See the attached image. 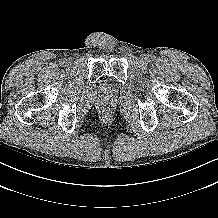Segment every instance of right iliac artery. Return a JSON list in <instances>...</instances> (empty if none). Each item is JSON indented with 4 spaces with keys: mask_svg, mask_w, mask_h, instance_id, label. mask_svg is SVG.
Segmentation results:
<instances>
[{
    "mask_svg": "<svg viewBox=\"0 0 218 218\" xmlns=\"http://www.w3.org/2000/svg\"><path fill=\"white\" fill-rule=\"evenodd\" d=\"M60 64H61V65H64V64H65V60H61V61H60Z\"/></svg>",
    "mask_w": 218,
    "mask_h": 218,
    "instance_id": "obj_1",
    "label": "right iliac artery"
}]
</instances>
